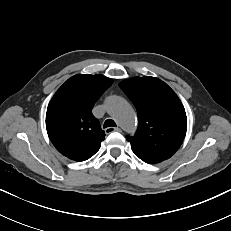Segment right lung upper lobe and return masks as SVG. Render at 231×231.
<instances>
[{
    "label": "right lung upper lobe",
    "instance_id": "obj_1",
    "mask_svg": "<svg viewBox=\"0 0 231 231\" xmlns=\"http://www.w3.org/2000/svg\"><path fill=\"white\" fill-rule=\"evenodd\" d=\"M112 83L100 74H78L57 90L47 108L46 129L62 155L80 162L100 149L105 134L91 110Z\"/></svg>",
    "mask_w": 231,
    "mask_h": 231
}]
</instances>
